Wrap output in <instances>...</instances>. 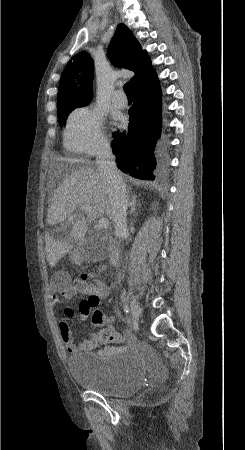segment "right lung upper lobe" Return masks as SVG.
I'll use <instances>...</instances> for the list:
<instances>
[{"mask_svg": "<svg viewBox=\"0 0 245 450\" xmlns=\"http://www.w3.org/2000/svg\"><path fill=\"white\" fill-rule=\"evenodd\" d=\"M109 58L117 67H124L135 73L131 78L134 86L153 70L147 52L129 28L120 24L109 46ZM94 65L91 57L81 52L72 57L60 79L57 106L66 103L89 104L93 97L92 80Z\"/></svg>", "mask_w": 245, "mask_h": 450, "instance_id": "right-lung-upper-lobe-1", "label": "right lung upper lobe"}]
</instances>
